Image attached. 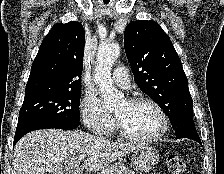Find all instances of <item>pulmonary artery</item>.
I'll return each mask as SVG.
<instances>
[{
    "mask_svg": "<svg viewBox=\"0 0 224 174\" xmlns=\"http://www.w3.org/2000/svg\"><path fill=\"white\" fill-rule=\"evenodd\" d=\"M113 81L116 85L123 89L130 88V78L127 71L123 67H118L113 72Z\"/></svg>",
    "mask_w": 224,
    "mask_h": 174,
    "instance_id": "1",
    "label": "pulmonary artery"
}]
</instances>
